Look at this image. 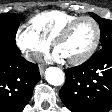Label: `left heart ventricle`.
I'll list each match as a JSON object with an SVG mask.
<instances>
[{
    "label": "left heart ventricle",
    "mask_w": 112,
    "mask_h": 112,
    "mask_svg": "<svg viewBox=\"0 0 112 112\" xmlns=\"http://www.w3.org/2000/svg\"><path fill=\"white\" fill-rule=\"evenodd\" d=\"M94 37L93 24L88 20H83L73 28L65 40L56 46L55 52L67 61L77 59L89 49Z\"/></svg>",
    "instance_id": "b2bd125f"
}]
</instances>
